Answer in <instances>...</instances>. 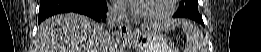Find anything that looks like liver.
I'll return each mask as SVG.
<instances>
[{"instance_id":"1","label":"liver","mask_w":261,"mask_h":52,"mask_svg":"<svg viewBox=\"0 0 261 52\" xmlns=\"http://www.w3.org/2000/svg\"><path fill=\"white\" fill-rule=\"evenodd\" d=\"M103 25L75 13L53 16L37 30L34 52H113ZM117 43V41H116Z\"/></svg>"}]
</instances>
